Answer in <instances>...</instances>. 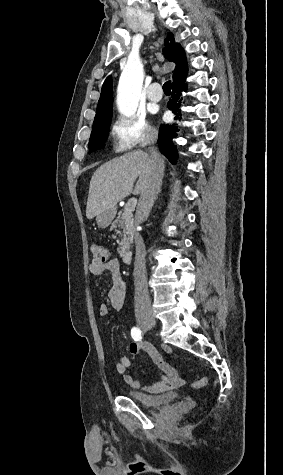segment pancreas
<instances>
[{
  "mask_svg": "<svg viewBox=\"0 0 283 475\" xmlns=\"http://www.w3.org/2000/svg\"><path fill=\"white\" fill-rule=\"evenodd\" d=\"M121 228L123 238L121 239L118 247L119 253L121 255H124V253H128L130 249V243H133V236H135V226H134V220H133V214L130 212V210H122V212H119L116 220H114L112 224V228Z\"/></svg>",
  "mask_w": 283,
  "mask_h": 475,
  "instance_id": "pancreas-1",
  "label": "pancreas"
}]
</instances>
